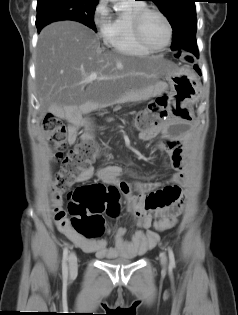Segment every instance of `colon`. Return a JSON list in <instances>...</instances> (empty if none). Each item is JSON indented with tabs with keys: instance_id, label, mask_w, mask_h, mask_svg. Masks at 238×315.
Listing matches in <instances>:
<instances>
[{
	"instance_id": "5ec220e1",
	"label": "colon",
	"mask_w": 238,
	"mask_h": 315,
	"mask_svg": "<svg viewBox=\"0 0 238 315\" xmlns=\"http://www.w3.org/2000/svg\"><path fill=\"white\" fill-rule=\"evenodd\" d=\"M177 56L193 65L196 73L201 69L192 55L178 53ZM168 97L159 96L148 108L138 114L136 127L140 131L156 128L159 121L167 115ZM43 128L47 138L53 145L54 160L61 163L60 171L55 175L52 190L67 189L75 177L89 167L97 154V146L91 137L82 138L78 144L68 151L67 127L52 114L46 115ZM119 189L113 185L92 184L76 188L70 195L69 211L72 215L73 229L87 239L98 237L104 229L103 214L116 217L119 213ZM159 230L172 227V221L161 219L156 223Z\"/></svg>"
}]
</instances>
